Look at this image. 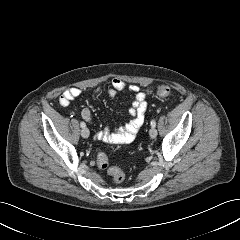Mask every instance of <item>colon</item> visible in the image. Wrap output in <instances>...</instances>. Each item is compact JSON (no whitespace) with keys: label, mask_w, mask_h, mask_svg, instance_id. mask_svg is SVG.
<instances>
[{"label":"colon","mask_w":240,"mask_h":240,"mask_svg":"<svg viewBox=\"0 0 240 240\" xmlns=\"http://www.w3.org/2000/svg\"><path fill=\"white\" fill-rule=\"evenodd\" d=\"M150 93L153 96L160 97V98H167L171 94L170 87L166 85H159L150 90ZM97 165L99 168L107 170L110 176L112 177V180L115 184H120L125 179L124 172L114 166L109 165V159L108 156L105 153H99L97 156Z\"/></svg>","instance_id":"colon-1"}]
</instances>
